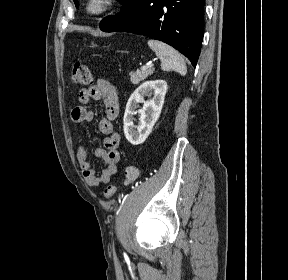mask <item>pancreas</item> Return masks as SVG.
I'll return each instance as SVG.
<instances>
[{
	"label": "pancreas",
	"mask_w": 288,
	"mask_h": 280,
	"mask_svg": "<svg viewBox=\"0 0 288 280\" xmlns=\"http://www.w3.org/2000/svg\"><path fill=\"white\" fill-rule=\"evenodd\" d=\"M154 73V69H145V70H137L132 71L129 73L130 75V81L133 84H138L140 81H143L146 79L149 75H152Z\"/></svg>",
	"instance_id": "1"
}]
</instances>
